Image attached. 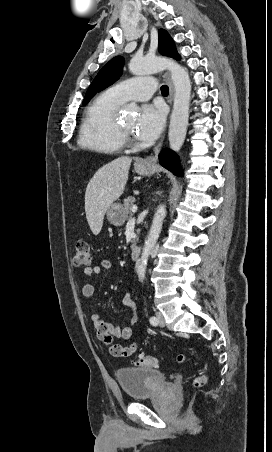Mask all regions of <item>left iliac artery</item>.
Masks as SVG:
<instances>
[{"instance_id":"1","label":"left iliac artery","mask_w":272,"mask_h":452,"mask_svg":"<svg viewBox=\"0 0 272 452\" xmlns=\"http://www.w3.org/2000/svg\"><path fill=\"white\" fill-rule=\"evenodd\" d=\"M150 323L154 326L157 325L158 324L157 318L155 316L150 317Z\"/></svg>"}]
</instances>
